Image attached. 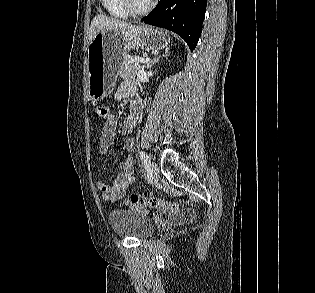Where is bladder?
Listing matches in <instances>:
<instances>
[{
  "mask_svg": "<svg viewBox=\"0 0 315 293\" xmlns=\"http://www.w3.org/2000/svg\"><path fill=\"white\" fill-rule=\"evenodd\" d=\"M108 221L114 233L123 238L145 239L155 229L149 218L134 209L113 210L108 215Z\"/></svg>",
  "mask_w": 315,
  "mask_h": 293,
  "instance_id": "bladder-1",
  "label": "bladder"
}]
</instances>
